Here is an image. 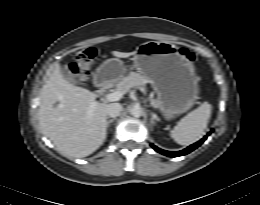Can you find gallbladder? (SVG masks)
<instances>
[{
	"mask_svg": "<svg viewBox=\"0 0 260 205\" xmlns=\"http://www.w3.org/2000/svg\"><path fill=\"white\" fill-rule=\"evenodd\" d=\"M61 73L63 77L69 82H71L72 84H76V85L79 84V81L76 79L75 75L71 72V70L67 65L62 66Z\"/></svg>",
	"mask_w": 260,
	"mask_h": 205,
	"instance_id": "bac80fb5",
	"label": "gallbladder"
}]
</instances>
